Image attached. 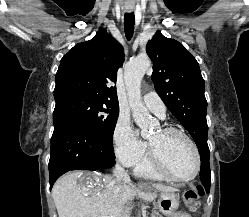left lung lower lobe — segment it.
Wrapping results in <instances>:
<instances>
[{"label": "left lung lower lobe", "instance_id": "obj_1", "mask_svg": "<svg viewBox=\"0 0 249 217\" xmlns=\"http://www.w3.org/2000/svg\"><path fill=\"white\" fill-rule=\"evenodd\" d=\"M200 180L202 181V183H203V185H204V187L206 189V192L209 193L210 183H211L210 174L207 173L204 170H201V172H200Z\"/></svg>", "mask_w": 249, "mask_h": 217}]
</instances>
